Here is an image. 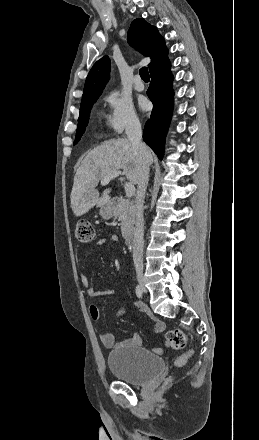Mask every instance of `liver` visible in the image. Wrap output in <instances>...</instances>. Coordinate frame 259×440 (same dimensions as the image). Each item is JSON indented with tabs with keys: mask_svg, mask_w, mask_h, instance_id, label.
Listing matches in <instances>:
<instances>
[{
	"mask_svg": "<svg viewBox=\"0 0 259 440\" xmlns=\"http://www.w3.org/2000/svg\"><path fill=\"white\" fill-rule=\"evenodd\" d=\"M149 164L153 155L148 148ZM123 170L127 179L138 183L139 156L132 143L125 138L112 139L91 150L77 169L71 191V208L75 216H82L94 206L102 207L110 202L111 189L100 195L96 189L113 171Z\"/></svg>",
	"mask_w": 259,
	"mask_h": 440,
	"instance_id": "6515ba94",
	"label": "liver"
}]
</instances>
